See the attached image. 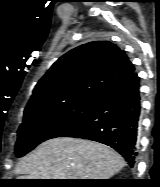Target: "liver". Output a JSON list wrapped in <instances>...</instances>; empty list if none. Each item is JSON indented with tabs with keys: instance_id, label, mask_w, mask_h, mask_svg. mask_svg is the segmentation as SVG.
Returning a JSON list of instances; mask_svg holds the SVG:
<instances>
[{
	"instance_id": "liver-1",
	"label": "liver",
	"mask_w": 160,
	"mask_h": 187,
	"mask_svg": "<svg viewBox=\"0 0 160 187\" xmlns=\"http://www.w3.org/2000/svg\"><path fill=\"white\" fill-rule=\"evenodd\" d=\"M125 165L111 147L80 138L47 140L17 164L19 179H109Z\"/></svg>"
}]
</instances>
